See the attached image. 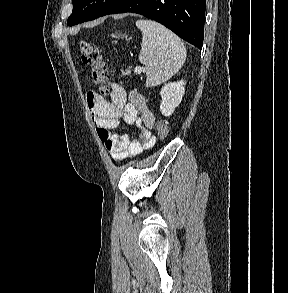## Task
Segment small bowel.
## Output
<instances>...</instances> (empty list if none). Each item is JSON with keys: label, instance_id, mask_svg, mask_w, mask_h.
<instances>
[{"label": "small bowel", "instance_id": "1", "mask_svg": "<svg viewBox=\"0 0 288 293\" xmlns=\"http://www.w3.org/2000/svg\"><path fill=\"white\" fill-rule=\"evenodd\" d=\"M86 99L97 135L114 160L138 156L155 144L152 134L154 114L137 91H127L117 83H110L109 100L92 91ZM121 120L135 126L137 132L134 139L112 132Z\"/></svg>", "mask_w": 288, "mask_h": 293}]
</instances>
